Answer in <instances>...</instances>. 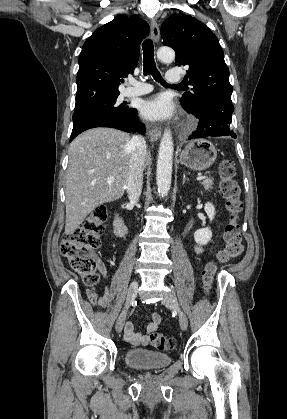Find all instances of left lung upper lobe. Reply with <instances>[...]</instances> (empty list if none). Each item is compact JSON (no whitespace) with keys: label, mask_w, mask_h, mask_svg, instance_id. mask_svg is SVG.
<instances>
[{"label":"left lung upper lobe","mask_w":287,"mask_h":419,"mask_svg":"<svg viewBox=\"0 0 287 419\" xmlns=\"http://www.w3.org/2000/svg\"><path fill=\"white\" fill-rule=\"evenodd\" d=\"M161 36L163 44L176 52L175 65L188 67L185 78L193 88L180 100L185 109L196 110L211 98L231 100L233 88L223 50L206 25L190 15L177 14L163 22Z\"/></svg>","instance_id":"1"}]
</instances>
